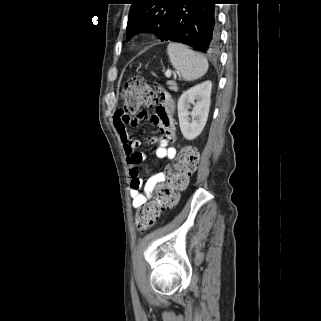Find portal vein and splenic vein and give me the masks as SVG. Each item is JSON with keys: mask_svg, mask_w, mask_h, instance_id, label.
<instances>
[{"mask_svg": "<svg viewBox=\"0 0 321 321\" xmlns=\"http://www.w3.org/2000/svg\"><path fill=\"white\" fill-rule=\"evenodd\" d=\"M171 70H167L166 72H165V75H166V77H170L171 76ZM178 75H180L179 73H177Z\"/></svg>", "mask_w": 321, "mask_h": 321, "instance_id": "obj_1", "label": "portal vein and splenic vein"}]
</instances>
